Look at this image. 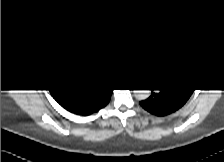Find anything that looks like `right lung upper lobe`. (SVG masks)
Here are the masks:
<instances>
[{
  "instance_id": "right-lung-upper-lobe-1",
  "label": "right lung upper lobe",
  "mask_w": 224,
  "mask_h": 162,
  "mask_svg": "<svg viewBox=\"0 0 224 162\" xmlns=\"http://www.w3.org/2000/svg\"><path fill=\"white\" fill-rule=\"evenodd\" d=\"M49 91L62 107L72 113H89L101 100L99 95L86 92L84 85L72 82H52Z\"/></svg>"
}]
</instances>
